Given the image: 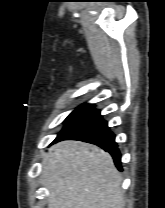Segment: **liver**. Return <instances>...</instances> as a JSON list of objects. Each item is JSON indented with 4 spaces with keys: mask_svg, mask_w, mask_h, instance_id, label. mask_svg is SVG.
<instances>
[{
    "mask_svg": "<svg viewBox=\"0 0 165 208\" xmlns=\"http://www.w3.org/2000/svg\"><path fill=\"white\" fill-rule=\"evenodd\" d=\"M48 208H123L122 177L111 155L80 141L52 146L42 160Z\"/></svg>",
    "mask_w": 165,
    "mask_h": 208,
    "instance_id": "1",
    "label": "liver"
}]
</instances>
